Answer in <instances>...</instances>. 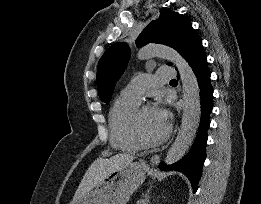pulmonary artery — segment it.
Here are the masks:
<instances>
[{
  "mask_svg": "<svg viewBox=\"0 0 261 204\" xmlns=\"http://www.w3.org/2000/svg\"><path fill=\"white\" fill-rule=\"evenodd\" d=\"M175 77L176 71L173 67H160L153 74L137 76L121 91L120 96L124 99L140 102L147 89L164 84Z\"/></svg>",
  "mask_w": 261,
  "mask_h": 204,
  "instance_id": "1",
  "label": "pulmonary artery"
}]
</instances>
